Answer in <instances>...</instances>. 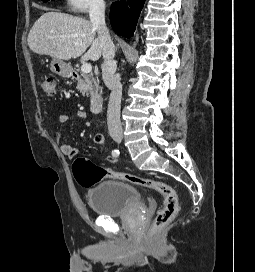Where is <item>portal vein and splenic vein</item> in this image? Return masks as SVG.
Returning <instances> with one entry per match:
<instances>
[{
	"mask_svg": "<svg viewBox=\"0 0 255 272\" xmlns=\"http://www.w3.org/2000/svg\"><path fill=\"white\" fill-rule=\"evenodd\" d=\"M81 71L83 73H90L92 71V66L89 63H83V65L81 66Z\"/></svg>",
	"mask_w": 255,
	"mask_h": 272,
	"instance_id": "portal-vein-and-splenic-vein-1",
	"label": "portal vein and splenic vein"
}]
</instances>
